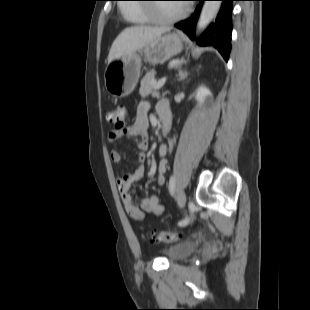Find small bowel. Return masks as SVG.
<instances>
[{
	"label": "small bowel",
	"instance_id": "c3829d8e",
	"mask_svg": "<svg viewBox=\"0 0 310 310\" xmlns=\"http://www.w3.org/2000/svg\"><path fill=\"white\" fill-rule=\"evenodd\" d=\"M149 105L146 102H142L137 109L136 117L133 124L127 127L125 130H111L108 132L106 139L110 144L115 143L123 136L136 139L141 151L147 149L148 143V117ZM156 110L158 114L160 112H169V104L166 101H160L157 104ZM162 160L158 167L157 182L159 185H163L165 182V172L168 166V160L166 158L167 150L165 147L160 149ZM110 158L114 163L121 161V154L117 149L110 150ZM145 173L144 155L138 154L135 159V168L132 172L125 173L117 179V185L119 194L123 203V206L127 214L136 221H143L147 214L161 215L164 212V206L160 203L159 198L155 194H149L145 197H134L130 191L131 184L140 180ZM139 203V206L137 205Z\"/></svg>",
	"mask_w": 310,
	"mask_h": 310
}]
</instances>
